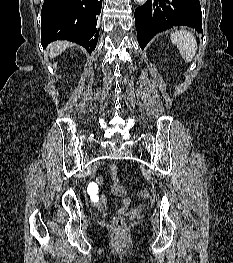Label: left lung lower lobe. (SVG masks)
<instances>
[{
    "label": "left lung lower lobe",
    "instance_id": "1",
    "mask_svg": "<svg viewBox=\"0 0 233 263\" xmlns=\"http://www.w3.org/2000/svg\"><path fill=\"white\" fill-rule=\"evenodd\" d=\"M135 24L142 49L161 31L173 26H189L202 32L199 0H147L135 10Z\"/></svg>",
    "mask_w": 233,
    "mask_h": 263
}]
</instances>
